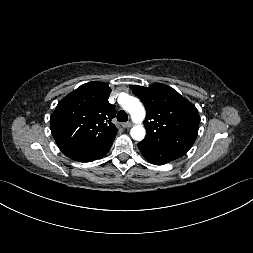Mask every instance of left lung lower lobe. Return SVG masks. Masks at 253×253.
Masks as SVG:
<instances>
[{
    "label": "left lung lower lobe",
    "instance_id": "0a47b994",
    "mask_svg": "<svg viewBox=\"0 0 253 253\" xmlns=\"http://www.w3.org/2000/svg\"><path fill=\"white\" fill-rule=\"evenodd\" d=\"M138 148L144 158H146L150 163L155 165L166 164L185 154L184 152L179 150L148 144L142 141L138 144Z\"/></svg>",
    "mask_w": 253,
    "mask_h": 253
}]
</instances>
